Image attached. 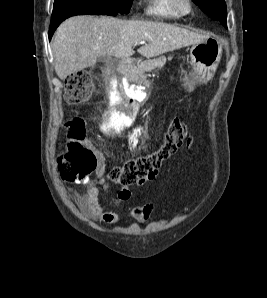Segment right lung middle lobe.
Masks as SVG:
<instances>
[{
    "mask_svg": "<svg viewBox=\"0 0 267 298\" xmlns=\"http://www.w3.org/2000/svg\"><path fill=\"white\" fill-rule=\"evenodd\" d=\"M132 0H55L51 23L62 22L74 15L127 14Z\"/></svg>",
    "mask_w": 267,
    "mask_h": 298,
    "instance_id": "1",
    "label": "right lung middle lobe"
}]
</instances>
